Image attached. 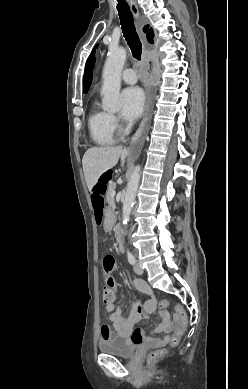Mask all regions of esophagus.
Listing matches in <instances>:
<instances>
[{
    "mask_svg": "<svg viewBox=\"0 0 248 389\" xmlns=\"http://www.w3.org/2000/svg\"><path fill=\"white\" fill-rule=\"evenodd\" d=\"M128 3H129L130 9H131L135 19L138 20V18H139V10H138V7H137L136 3L134 2V0H128ZM150 106H151V98L149 96L148 97V101H147V106H146V115H145L144 119L142 120L139 129L137 130V132L135 134V139H138L142 135V133H143L145 125H146V123H147V121L149 119Z\"/></svg>",
    "mask_w": 248,
    "mask_h": 389,
    "instance_id": "obj_1",
    "label": "esophagus"
}]
</instances>
